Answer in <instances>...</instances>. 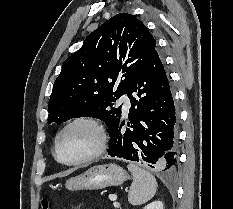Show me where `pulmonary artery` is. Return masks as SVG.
<instances>
[{"instance_id": "obj_1", "label": "pulmonary artery", "mask_w": 233, "mask_h": 209, "mask_svg": "<svg viewBox=\"0 0 233 209\" xmlns=\"http://www.w3.org/2000/svg\"><path fill=\"white\" fill-rule=\"evenodd\" d=\"M118 102L123 105L124 112L127 113V111L131 107V101L127 95H122Z\"/></svg>"}]
</instances>
